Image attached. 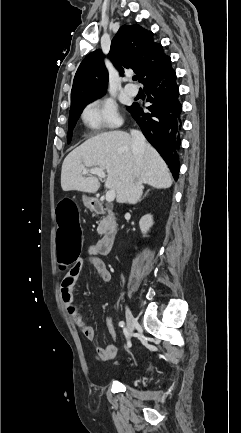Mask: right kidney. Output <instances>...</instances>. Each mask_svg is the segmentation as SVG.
Returning a JSON list of instances; mask_svg holds the SVG:
<instances>
[{"mask_svg": "<svg viewBox=\"0 0 241 433\" xmlns=\"http://www.w3.org/2000/svg\"><path fill=\"white\" fill-rule=\"evenodd\" d=\"M153 225V217L151 214L144 215L140 221L139 226L143 236L145 237L151 226Z\"/></svg>", "mask_w": 241, "mask_h": 433, "instance_id": "right-kidney-1", "label": "right kidney"}]
</instances>
